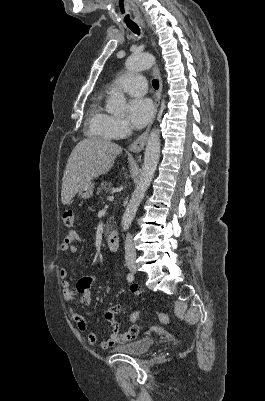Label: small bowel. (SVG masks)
<instances>
[{
    "mask_svg": "<svg viewBox=\"0 0 265 401\" xmlns=\"http://www.w3.org/2000/svg\"><path fill=\"white\" fill-rule=\"evenodd\" d=\"M86 239L79 233L70 231L60 245V251L67 253H76L78 251L77 242H85ZM68 272L65 268L60 269L61 286L63 290L64 300L69 308L71 318L75 322L77 329L86 335L87 341L91 345H98L101 349L106 350L117 344H124L132 339L127 336L126 332H121L119 324L115 316L122 310L120 304H114L105 311V318L110 323L112 331L109 337L103 341H98L96 334L89 330L86 319L74 308L76 304V295H80V303L89 307L92 302L91 286L98 279L97 275L83 277L72 285L67 279ZM131 293L138 296L141 290L138 286H131Z\"/></svg>",
    "mask_w": 265,
    "mask_h": 401,
    "instance_id": "obj_1",
    "label": "small bowel"
}]
</instances>
